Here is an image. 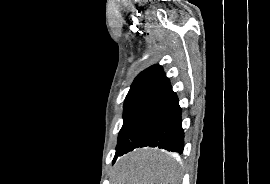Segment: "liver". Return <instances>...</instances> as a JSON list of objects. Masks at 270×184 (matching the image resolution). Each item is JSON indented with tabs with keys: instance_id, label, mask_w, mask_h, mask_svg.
<instances>
[{
	"instance_id": "1",
	"label": "liver",
	"mask_w": 270,
	"mask_h": 184,
	"mask_svg": "<svg viewBox=\"0 0 270 184\" xmlns=\"http://www.w3.org/2000/svg\"><path fill=\"white\" fill-rule=\"evenodd\" d=\"M111 180V184H177L180 177L161 151L142 148L117 161Z\"/></svg>"
}]
</instances>
